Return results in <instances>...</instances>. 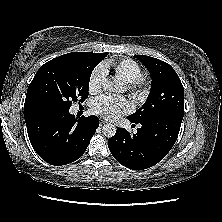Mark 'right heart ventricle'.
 I'll use <instances>...</instances> for the list:
<instances>
[{
    "instance_id": "e07e8e85",
    "label": "right heart ventricle",
    "mask_w": 222,
    "mask_h": 222,
    "mask_svg": "<svg viewBox=\"0 0 222 222\" xmlns=\"http://www.w3.org/2000/svg\"><path fill=\"white\" fill-rule=\"evenodd\" d=\"M105 71L112 69L115 77L124 84H130L141 77L140 65L132 59L108 60L104 64Z\"/></svg>"
}]
</instances>
